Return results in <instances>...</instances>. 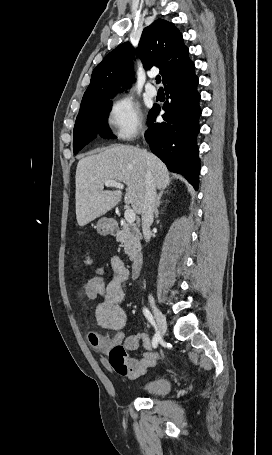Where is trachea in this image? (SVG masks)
I'll list each match as a JSON object with an SVG mask.
<instances>
[{"label":"trachea","instance_id":"1","mask_svg":"<svg viewBox=\"0 0 272 455\" xmlns=\"http://www.w3.org/2000/svg\"><path fill=\"white\" fill-rule=\"evenodd\" d=\"M156 83H157V84L161 83V77H160L159 75L156 76Z\"/></svg>","mask_w":272,"mask_h":455}]
</instances>
